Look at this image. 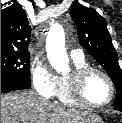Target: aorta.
I'll return each instance as SVG.
<instances>
[{
  "instance_id": "aorta-1",
  "label": "aorta",
  "mask_w": 122,
  "mask_h": 123,
  "mask_svg": "<svg viewBox=\"0 0 122 123\" xmlns=\"http://www.w3.org/2000/svg\"><path fill=\"white\" fill-rule=\"evenodd\" d=\"M47 57L58 73L69 71V59L65 49L64 30L60 25L51 28L46 41Z\"/></svg>"
}]
</instances>
